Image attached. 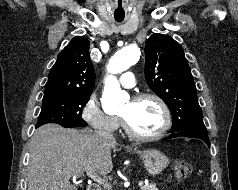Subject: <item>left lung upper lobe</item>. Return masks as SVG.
Returning <instances> with one entry per match:
<instances>
[{
    "label": "left lung upper lobe",
    "mask_w": 238,
    "mask_h": 190,
    "mask_svg": "<svg viewBox=\"0 0 238 190\" xmlns=\"http://www.w3.org/2000/svg\"><path fill=\"white\" fill-rule=\"evenodd\" d=\"M145 56L147 84L171 110V132L206 130L182 46L169 36L154 34L146 40Z\"/></svg>",
    "instance_id": "1"
}]
</instances>
